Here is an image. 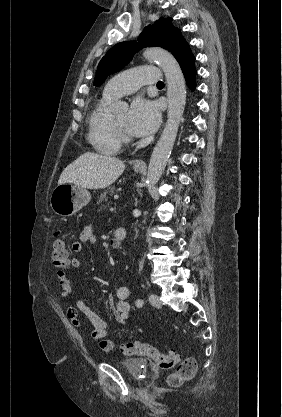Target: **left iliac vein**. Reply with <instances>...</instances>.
Returning <instances> with one entry per match:
<instances>
[{
  "label": "left iliac vein",
  "instance_id": "obj_1",
  "mask_svg": "<svg viewBox=\"0 0 282 417\" xmlns=\"http://www.w3.org/2000/svg\"><path fill=\"white\" fill-rule=\"evenodd\" d=\"M149 302L152 306L156 307V308H160L161 307V302L159 300L158 295L156 294H151L149 296Z\"/></svg>",
  "mask_w": 282,
  "mask_h": 417
}]
</instances>
